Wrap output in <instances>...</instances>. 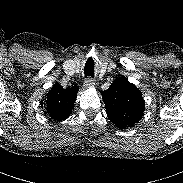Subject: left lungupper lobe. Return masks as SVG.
Masks as SVG:
<instances>
[{"label":"left lung upper lobe","instance_id":"obj_1","mask_svg":"<svg viewBox=\"0 0 183 183\" xmlns=\"http://www.w3.org/2000/svg\"><path fill=\"white\" fill-rule=\"evenodd\" d=\"M109 120L118 128L133 126L143 116L145 103L140 90L125 77L113 81L110 88L102 92Z\"/></svg>","mask_w":183,"mask_h":183}]
</instances>
